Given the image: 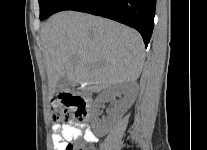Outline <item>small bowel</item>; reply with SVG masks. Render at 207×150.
<instances>
[{"label": "small bowel", "instance_id": "c3829d8e", "mask_svg": "<svg viewBox=\"0 0 207 150\" xmlns=\"http://www.w3.org/2000/svg\"><path fill=\"white\" fill-rule=\"evenodd\" d=\"M52 134V143L54 150H66L68 143L83 136L86 143H95L98 141L97 135L94 134L90 125L83 123L79 126L72 121L67 124H54Z\"/></svg>", "mask_w": 207, "mask_h": 150}]
</instances>
